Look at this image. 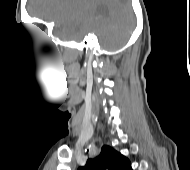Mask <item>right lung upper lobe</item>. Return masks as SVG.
<instances>
[{"label": "right lung upper lobe", "mask_w": 190, "mask_h": 170, "mask_svg": "<svg viewBox=\"0 0 190 170\" xmlns=\"http://www.w3.org/2000/svg\"><path fill=\"white\" fill-rule=\"evenodd\" d=\"M78 170H132V168L128 158L112 147L104 145L98 156L89 158L86 165Z\"/></svg>", "instance_id": "cb5924a9"}]
</instances>
